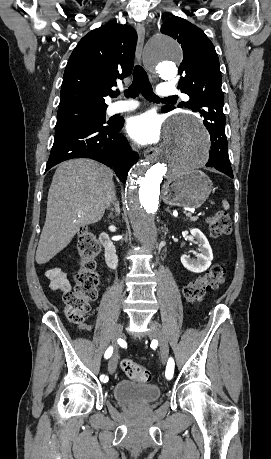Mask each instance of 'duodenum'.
<instances>
[{
  "instance_id": "obj_1",
  "label": "duodenum",
  "mask_w": 271,
  "mask_h": 459,
  "mask_svg": "<svg viewBox=\"0 0 271 459\" xmlns=\"http://www.w3.org/2000/svg\"><path fill=\"white\" fill-rule=\"evenodd\" d=\"M100 242L104 247V255L107 265L110 268H116L118 259L113 241L107 232L100 234Z\"/></svg>"
}]
</instances>
